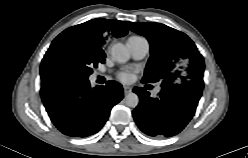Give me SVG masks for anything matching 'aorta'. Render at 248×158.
I'll return each mask as SVG.
<instances>
[{
	"instance_id": "obj_1",
	"label": "aorta",
	"mask_w": 248,
	"mask_h": 158,
	"mask_svg": "<svg viewBox=\"0 0 248 158\" xmlns=\"http://www.w3.org/2000/svg\"><path fill=\"white\" fill-rule=\"evenodd\" d=\"M111 55L119 63H125L130 58L129 49L122 43H116L111 48ZM139 103V97L137 94L131 92L125 96V104L128 107L135 108Z\"/></svg>"
}]
</instances>
